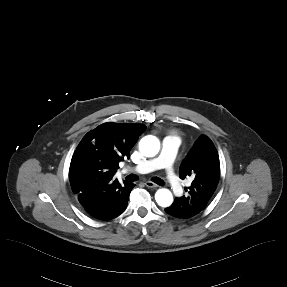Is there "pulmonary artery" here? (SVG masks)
Returning a JSON list of instances; mask_svg holds the SVG:
<instances>
[{
    "instance_id": "pulmonary-artery-1",
    "label": "pulmonary artery",
    "mask_w": 287,
    "mask_h": 287,
    "mask_svg": "<svg viewBox=\"0 0 287 287\" xmlns=\"http://www.w3.org/2000/svg\"><path fill=\"white\" fill-rule=\"evenodd\" d=\"M179 146L178 137L170 133L162 143V152L156 157L145 161L142 164L133 167V171L139 174L148 173L156 169H164V177L171 186L172 192L175 196L180 197L183 194V188L174 172L173 161ZM123 169L122 172H127Z\"/></svg>"
}]
</instances>
